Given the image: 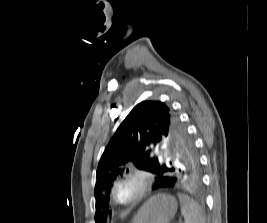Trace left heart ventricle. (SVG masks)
I'll use <instances>...</instances> for the list:
<instances>
[{"instance_id": "left-heart-ventricle-1", "label": "left heart ventricle", "mask_w": 267, "mask_h": 223, "mask_svg": "<svg viewBox=\"0 0 267 223\" xmlns=\"http://www.w3.org/2000/svg\"><path fill=\"white\" fill-rule=\"evenodd\" d=\"M138 189V185L136 182L129 181L121 184V186L117 190L118 197L122 200H126L133 196Z\"/></svg>"}]
</instances>
